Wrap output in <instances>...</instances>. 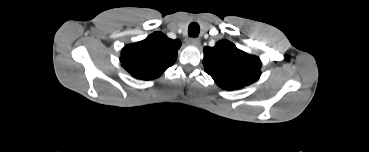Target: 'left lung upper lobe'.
I'll return each instance as SVG.
<instances>
[{
  "mask_svg": "<svg viewBox=\"0 0 369 152\" xmlns=\"http://www.w3.org/2000/svg\"><path fill=\"white\" fill-rule=\"evenodd\" d=\"M205 72L223 89L235 90L257 81L261 61L257 56L239 50L228 40L204 48Z\"/></svg>",
  "mask_w": 369,
  "mask_h": 152,
  "instance_id": "obj_1",
  "label": "left lung upper lobe"
}]
</instances>
